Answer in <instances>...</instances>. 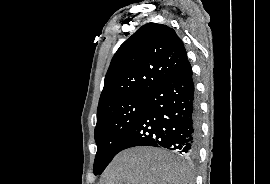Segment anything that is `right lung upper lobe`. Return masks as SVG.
Here are the masks:
<instances>
[{
	"instance_id": "right-lung-upper-lobe-1",
	"label": "right lung upper lobe",
	"mask_w": 270,
	"mask_h": 184,
	"mask_svg": "<svg viewBox=\"0 0 270 184\" xmlns=\"http://www.w3.org/2000/svg\"><path fill=\"white\" fill-rule=\"evenodd\" d=\"M182 40L174 29L148 23L115 53L105 76L97 116L107 105L132 96H147L186 61Z\"/></svg>"
}]
</instances>
